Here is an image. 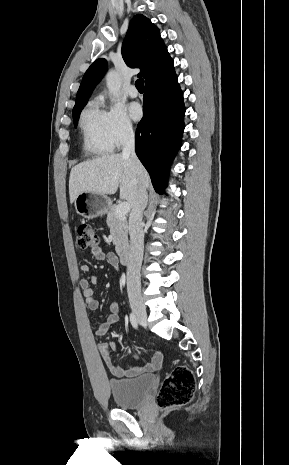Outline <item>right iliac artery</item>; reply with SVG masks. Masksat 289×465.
I'll return each mask as SVG.
<instances>
[{
	"instance_id": "1",
	"label": "right iliac artery",
	"mask_w": 289,
	"mask_h": 465,
	"mask_svg": "<svg viewBox=\"0 0 289 465\" xmlns=\"http://www.w3.org/2000/svg\"><path fill=\"white\" fill-rule=\"evenodd\" d=\"M130 321H131L132 326L136 329L138 327V322H137L136 315L133 312L130 314Z\"/></svg>"
}]
</instances>
